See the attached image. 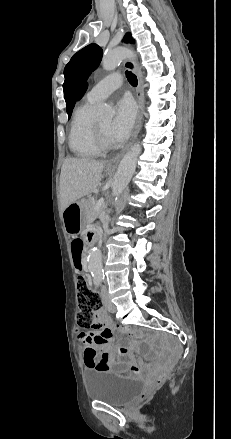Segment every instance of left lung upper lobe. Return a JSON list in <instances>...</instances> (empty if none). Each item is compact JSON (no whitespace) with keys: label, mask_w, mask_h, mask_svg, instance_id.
<instances>
[{"label":"left lung upper lobe","mask_w":231,"mask_h":439,"mask_svg":"<svg viewBox=\"0 0 231 439\" xmlns=\"http://www.w3.org/2000/svg\"><path fill=\"white\" fill-rule=\"evenodd\" d=\"M124 42H134L129 33L125 35ZM101 58V47L97 44H89L74 54L70 62L66 65L64 69L65 81L63 89L69 118L80 89L89 75L99 66Z\"/></svg>","instance_id":"5c2ea615"}]
</instances>
